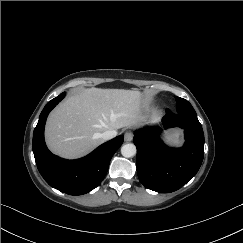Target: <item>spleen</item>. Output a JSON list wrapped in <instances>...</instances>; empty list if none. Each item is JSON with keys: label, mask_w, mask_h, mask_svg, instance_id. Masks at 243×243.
<instances>
[{"label": "spleen", "mask_w": 243, "mask_h": 243, "mask_svg": "<svg viewBox=\"0 0 243 243\" xmlns=\"http://www.w3.org/2000/svg\"><path fill=\"white\" fill-rule=\"evenodd\" d=\"M166 141L173 144L179 145L181 143L178 133H171L165 137Z\"/></svg>", "instance_id": "spleen-1"}]
</instances>
